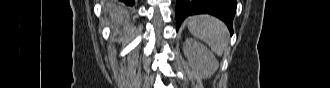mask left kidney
<instances>
[{
	"instance_id": "left-kidney-1",
	"label": "left kidney",
	"mask_w": 330,
	"mask_h": 88,
	"mask_svg": "<svg viewBox=\"0 0 330 88\" xmlns=\"http://www.w3.org/2000/svg\"><path fill=\"white\" fill-rule=\"evenodd\" d=\"M183 52L189 66L202 78L212 76L219 67L214 54L205 45L195 39L187 38L185 40Z\"/></svg>"
}]
</instances>
